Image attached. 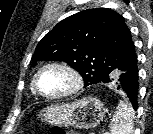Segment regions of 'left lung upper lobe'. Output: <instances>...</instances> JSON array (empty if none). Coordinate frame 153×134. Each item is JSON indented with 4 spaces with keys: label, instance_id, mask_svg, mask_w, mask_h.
<instances>
[{
    "label": "left lung upper lobe",
    "instance_id": "5c2ea615",
    "mask_svg": "<svg viewBox=\"0 0 153 134\" xmlns=\"http://www.w3.org/2000/svg\"><path fill=\"white\" fill-rule=\"evenodd\" d=\"M134 54L124 18L111 9L95 8L60 21L38 43L32 65L39 60H63L89 86L101 83Z\"/></svg>",
    "mask_w": 153,
    "mask_h": 134
}]
</instances>
